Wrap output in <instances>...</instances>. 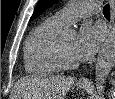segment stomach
<instances>
[{"label":"stomach","mask_w":115,"mask_h":99,"mask_svg":"<svg viewBox=\"0 0 115 99\" xmlns=\"http://www.w3.org/2000/svg\"><path fill=\"white\" fill-rule=\"evenodd\" d=\"M78 87H79L80 89H84V88H85L84 85H79Z\"/></svg>","instance_id":"obj_1"}]
</instances>
